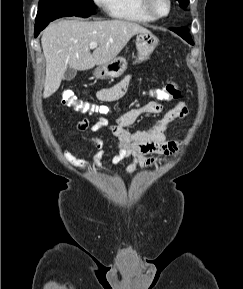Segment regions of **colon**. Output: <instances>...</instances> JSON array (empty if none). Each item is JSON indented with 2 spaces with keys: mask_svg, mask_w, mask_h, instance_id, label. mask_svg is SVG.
<instances>
[{
  "mask_svg": "<svg viewBox=\"0 0 243 289\" xmlns=\"http://www.w3.org/2000/svg\"><path fill=\"white\" fill-rule=\"evenodd\" d=\"M152 95L159 101L169 102L178 99L181 96V90L177 83L169 82L165 86L153 90ZM61 102L64 105L73 107L76 111L87 115L107 113V108L105 106L97 105L88 100L79 99L70 89L62 91Z\"/></svg>",
  "mask_w": 243,
  "mask_h": 289,
  "instance_id": "1",
  "label": "colon"
}]
</instances>
